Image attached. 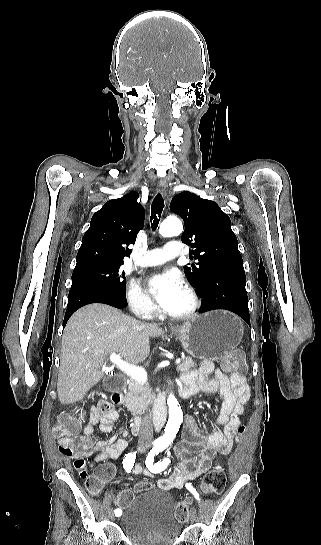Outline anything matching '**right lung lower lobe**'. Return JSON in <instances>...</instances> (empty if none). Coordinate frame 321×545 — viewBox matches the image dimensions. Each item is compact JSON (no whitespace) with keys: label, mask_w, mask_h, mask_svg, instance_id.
Wrapping results in <instances>:
<instances>
[{"label":"right lung lower lobe","mask_w":321,"mask_h":545,"mask_svg":"<svg viewBox=\"0 0 321 545\" xmlns=\"http://www.w3.org/2000/svg\"><path fill=\"white\" fill-rule=\"evenodd\" d=\"M91 303H104L116 308L127 306L125 293H119L98 285L75 284L71 286L69 291L64 325H66L68 319L77 309Z\"/></svg>","instance_id":"right-lung-lower-lobe-1"}]
</instances>
